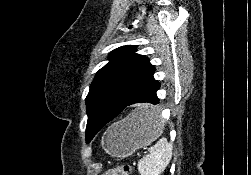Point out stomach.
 <instances>
[{"label": "stomach", "instance_id": "obj_1", "mask_svg": "<svg viewBox=\"0 0 251 175\" xmlns=\"http://www.w3.org/2000/svg\"><path fill=\"white\" fill-rule=\"evenodd\" d=\"M154 111L155 114H145ZM158 106H142L133 109L127 117L112 123L102 135L101 145L112 157H129L139 147L149 145L161 134H169L165 118L156 113ZM162 128V129H159Z\"/></svg>", "mask_w": 251, "mask_h": 175}]
</instances>
